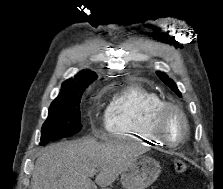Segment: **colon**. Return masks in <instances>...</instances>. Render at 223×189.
Segmentation results:
<instances>
[{"mask_svg": "<svg viewBox=\"0 0 223 189\" xmlns=\"http://www.w3.org/2000/svg\"><path fill=\"white\" fill-rule=\"evenodd\" d=\"M174 170L178 174H184L188 172L189 165L183 160H176L174 163Z\"/></svg>", "mask_w": 223, "mask_h": 189, "instance_id": "obj_1", "label": "colon"}]
</instances>
